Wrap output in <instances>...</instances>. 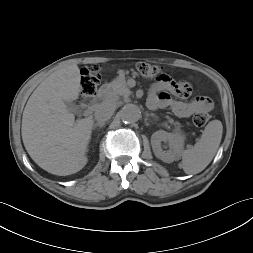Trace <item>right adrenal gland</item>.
Masks as SVG:
<instances>
[{"mask_svg": "<svg viewBox=\"0 0 253 253\" xmlns=\"http://www.w3.org/2000/svg\"><path fill=\"white\" fill-rule=\"evenodd\" d=\"M104 124L105 123H96V124H94L93 129H95L96 127L102 128L104 126Z\"/></svg>", "mask_w": 253, "mask_h": 253, "instance_id": "1", "label": "right adrenal gland"}]
</instances>
